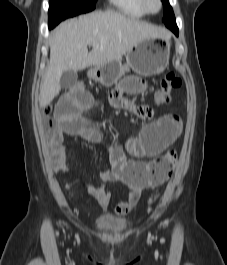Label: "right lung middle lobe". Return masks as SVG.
<instances>
[{"instance_id":"right-lung-middle-lobe-1","label":"right lung middle lobe","mask_w":227,"mask_h":265,"mask_svg":"<svg viewBox=\"0 0 227 265\" xmlns=\"http://www.w3.org/2000/svg\"><path fill=\"white\" fill-rule=\"evenodd\" d=\"M97 0H50L48 12V25L53 28L60 21L95 8Z\"/></svg>"}]
</instances>
